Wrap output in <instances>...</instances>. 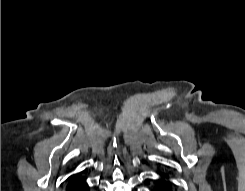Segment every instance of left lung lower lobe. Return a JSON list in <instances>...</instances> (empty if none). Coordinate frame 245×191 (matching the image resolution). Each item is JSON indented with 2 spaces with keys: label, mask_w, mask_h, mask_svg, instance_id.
<instances>
[{
  "label": "left lung lower lobe",
  "mask_w": 245,
  "mask_h": 191,
  "mask_svg": "<svg viewBox=\"0 0 245 191\" xmlns=\"http://www.w3.org/2000/svg\"><path fill=\"white\" fill-rule=\"evenodd\" d=\"M152 191H175V185L169 174L159 172Z\"/></svg>",
  "instance_id": "1"
}]
</instances>
